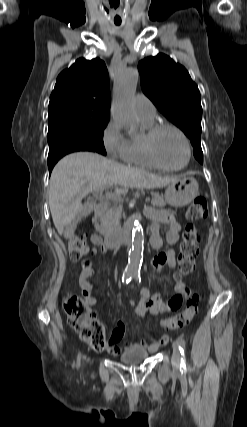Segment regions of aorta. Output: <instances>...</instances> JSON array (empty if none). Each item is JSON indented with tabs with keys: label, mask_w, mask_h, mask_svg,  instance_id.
<instances>
[{
	"label": "aorta",
	"mask_w": 247,
	"mask_h": 427,
	"mask_svg": "<svg viewBox=\"0 0 247 427\" xmlns=\"http://www.w3.org/2000/svg\"><path fill=\"white\" fill-rule=\"evenodd\" d=\"M138 73L135 68L122 67L116 74L113 88L112 118L130 134L137 132V120L133 110V98L136 93ZM144 233L142 225L134 222L132 228V248L128 254L126 274L139 272L143 257Z\"/></svg>",
	"instance_id": "762f6f07"
}]
</instances>
